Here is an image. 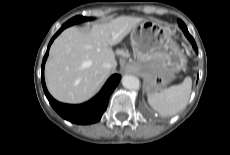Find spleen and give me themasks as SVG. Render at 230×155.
I'll list each match as a JSON object with an SVG mask.
<instances>
[{"label":"spleen","mask_w":230,"mask_h":155,"mask_svg":"<svg viewBox=\"0 0 230 155\" xmlns=\"http://www.w3.org/2000/svg\"><path fill=\"white\" fill-rule=\"evenodd\" d=\"M191 87L192 79L186 77L179 85H173L149 94L148 102L162 116L175 115L187 105L191 95Z\"/></svg>","instance_id":"obj_1"}]
</instances>
